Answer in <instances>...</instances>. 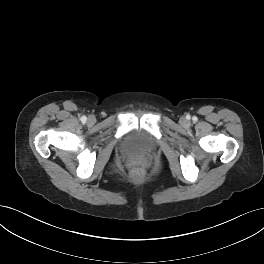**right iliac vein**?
<instances>
[{
	"label": "right iliac vein",
	"mask_w": 264,
	"mask_h": 264,
	"mask_svg": "<svg viewBox=\"0 0 264 264\" xmlns=\"http://www.w3.org/2000/svg\"><path fill=\"white\" fill-rule=\"evenodd\" d=\"M94 122H95L94 117L91 116V117L88 118V123L89 124H93Z\"/></svg>",
	"instance_id": "63e3f726"
}]
</instances>
